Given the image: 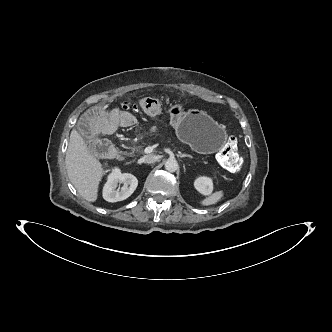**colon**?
Segmentation results:
<instances>
[{"instance_id":"colon-1","label":"colon","mask_w":332,"mask_h":332,"mask_svg":"<svg viewBox=\"0 0 332 332\" xmlns=\"http://www.w3.org/2000/svg\"><path fill=\"white\" fill-rule=\"evenodd\" d=\"M122 107L127 109L131 107V104L126 102ZM89 147L94 153L100 156L108 155L113 149L112 144L107 140H97L90 143ZM218 161L220 165L229 172L234 173L241 169L243 159L238 154L237 139L235 137L230 136L226 139L223 147L218 153Z\"/></svg>"}]
</instances>
